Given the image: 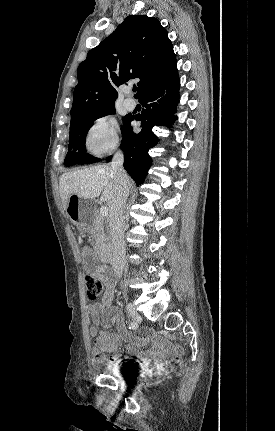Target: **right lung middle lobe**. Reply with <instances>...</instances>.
<instances>
[{
	"label": "right lung middle lobe",
	"instance_id": "obj_1",
	"mask_svg": "<svg viewBox=\"0 0 275 431\" xmlns=\"http://www.w3.org/2000/svg\"><path fill=\"white\" fill-rule=\"evenodd\" d=\"M114 113H115V107H110L105 110L98 111L90 115L84 116L70 123V137H69L70 141L68 146V153L64 161L65 166L68 167L74 164H87V163H95L99 161L98 158H95L86 153V150H85L86 135L92 123L96 119L106 116L108 114H114ZM129 118H130L129 116H125L123 118L124 129L122 130V133L124 132L128 124Z\"/></svg>",
	"mask_w": 275,
	"mask_h": 431
}]
</instances>
